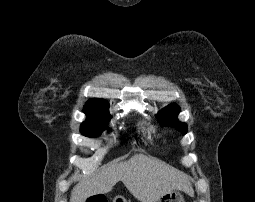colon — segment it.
I'll return each instance as SVG.
<instances>
[{
	"label": "colon",
	"mask_w": 255,
	"mask_h": 202,
	"mask_svg": "<svg viewBox=\"0 0 255 202\" xmlns=\"http://www.w3.org/2000/svg\"><path fill=\"white\" fill-rule=\"evenodd\" d=\"M87 202H107L105 199L99 197H91L88 199Z\"/></svg>",
	"instance_id": "obj_1"
}]
</instances>
